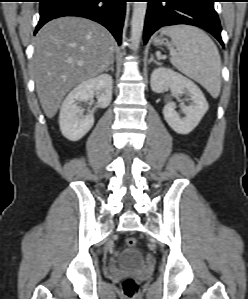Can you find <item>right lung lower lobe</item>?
<instances>
[{"instance_id": "obj_1", "label": "right lung lower lobe", "mask_w": 248, "mask_h": 299, "mask_svg": "<svg viewBox=\"0 0 248 299\" xmlns=\"http://www.w3.org/2000/svg\"><path fill=\"white\" fill-rule=\"evenodd\" d=\"M127 0H40V20L35 33L48 21L63 16H79L105 26L121 44Z\"/></svg>"}]
</instances>
